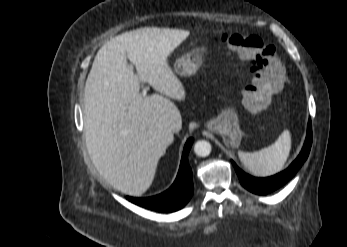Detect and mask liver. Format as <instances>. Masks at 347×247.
<instances>
[{
	"label": "liver",
	"mask_w": 347,
	"mask_h": 247,
	"mask_svg": "<svg viewBox=\"0 0 347 247\" xmlns=\"http://www.w3.org/2000/svg\"><path fill=\"white\" fill-rule=\"evenodd\" d=\"M189 31L147 27L110 39L97 52L84 89V133L100 175L122 193L151 186L160 158L182 128V82L167 62ZM132 62L137 74L127 65ZM142 82L169 97L142 96Z\"/></svg>",
	"instance_id": "obj_1"
}]
</instances>
